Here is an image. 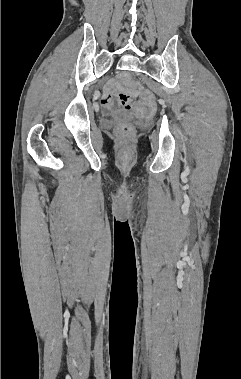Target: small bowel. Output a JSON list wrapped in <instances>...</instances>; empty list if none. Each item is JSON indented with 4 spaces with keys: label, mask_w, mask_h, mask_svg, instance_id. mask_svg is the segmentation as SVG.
Here are the masks:
<instances>
[{
    "label": "small bowel",
    "mask_w": 241,
    "mask_h": 379,
    "mask_svg": "<svg viewBox=\"0 0 241 379\" xmlns=\"http://www.w3.org/2000/svg\"><path fill=\"white\" fill-rule=\"evenodd\" d=\"M116 88L115 84L111 83L106 86L102 94V102L104 105L109 106L111 102V95L114 89Z\"/></svg>",
    "instance_id": "obj_1"
}]
</instances>
